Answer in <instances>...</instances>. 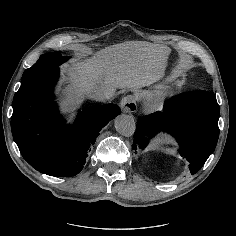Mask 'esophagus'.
<instances>
[{"label":"esophagus","instance_id":"34e87169","mask_svg":"<svg viewBox=\"0 0 236 236\" xmlns=\"http://www.w3.org/2000/svg\"><path fill=\"white\" fill-rule=\"evenodd\" d=\"M120 108L124 113H131L137 110L136 100L133 95L125 96L120 102Z\"/></svg>","mask_w":236,"mask_h":236}]
</instances>
